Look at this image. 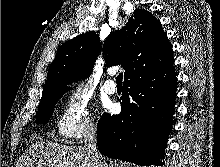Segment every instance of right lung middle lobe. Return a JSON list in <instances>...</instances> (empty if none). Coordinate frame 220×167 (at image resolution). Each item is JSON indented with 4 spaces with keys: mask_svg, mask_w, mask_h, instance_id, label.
I'll return each instance as SVG.
<instances>
[{
    "mask_svg": "<svg viewBox=\"0 0 220 167\" xmlns=\"http://www.w3.org/2000/svg\"><path fill=\"white\" fill-rule=\"evenodd\" d=\"M66 89L61 90L54 95L40 101L36 115V123L45 124L52 116L53 109L59 98L65 93Z\"/></svg>",
    "mask_w": 220,
    "mask_h": 167,
    "instance_id": "right-lung-middle-lobe-1",
    "label": "right lung middle lobe"
}]
</instances>
